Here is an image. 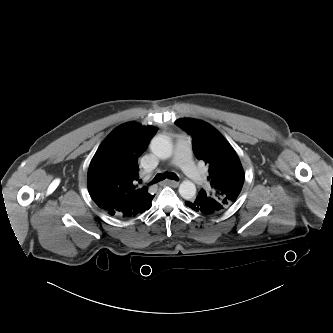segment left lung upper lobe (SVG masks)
I'll return each mask as SVG.
<instances>
[{
    "label": "left lung upper lobe",
    "instance_id": "1",
    "mask_svg": "<svg viewBox=\"0 0 333 333\" xmlns=\"http://www.w3.org/2000/svg\"><path fill=\"white\" fill-rule=\"evenodd\" d=\"M175 124L191 135L195 156L209 166L210 189L200 193L216 199L222 211L227 210L236 202L244 183L237 153L218 130L204 121L181 118Z\"/></svg>",
    "mask_w": 333,
    "mask_h": 333
}]
</instances>
